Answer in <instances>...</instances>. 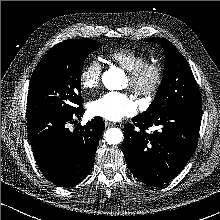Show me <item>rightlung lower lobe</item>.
Here are the masks:
<instances>
[{
  "label": "right lung lower lobe",
  "mask_w": 220,
  "mask_h": 220,
  "mask_svg": "<svg viewBox=\"0 0 220 220\" xmlns=\"http://www.w3.org/2000/svg\"><path fill=\"white\" fill-rule=\"evenodd\" d=\"M84 109L74 112L52 110L27 113L28 137L35 161L43 175L53 184L69 188L90 173L96 146L105 130L100 117L71 131L68 124L81 118ZM76 125V124H75Z\"/></svg>",
  "instance_id": "1"
}]
</instances>
